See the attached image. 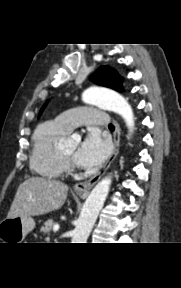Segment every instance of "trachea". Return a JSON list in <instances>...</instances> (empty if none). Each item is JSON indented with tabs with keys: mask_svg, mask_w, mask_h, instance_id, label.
I'll use <instances>...</instances> for the list:
<instances>
[{
	"mask_svg": "<svg viewBox=\"0 0 181 288\" xmlns=\"http://www.w3.org/2000/svg\"><path fill=\"white\" fill-rule=\"evenodd\" d=\"M109 129L110 130H114L115 129L114 125L113 124H109Z\"/></svg>",
	"mask_w": 181,
	"mask_h": 288,
	"instance_id": "3493384b",
	"label": "trachea"
}]
</instances>
